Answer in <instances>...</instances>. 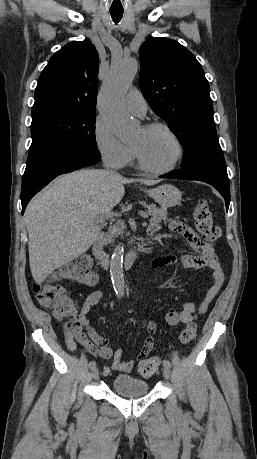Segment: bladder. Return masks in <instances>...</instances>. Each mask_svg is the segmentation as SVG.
I'll use <instances>...</instances> for the list:
<instances>
[{
	"label": "bladder",
	"instance_id": "bladder-1",
	"mask_svg": "<svg viewBox=\"0 0 257 459\" xmlns=\"http://www.w3.org/2000/svg\"><path fill=\"white\" fill-rule=\"evenodd\" d=\"M112 390L124 397H138L149 393V385L132 375L119 374L112 381Z\"/></svg>",
	"mask_w": 257,
	"mask_h": 459
}]
</instances>
